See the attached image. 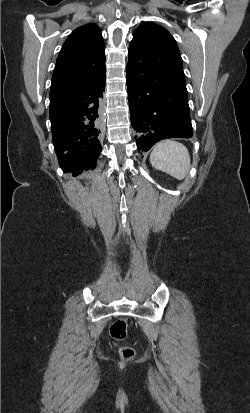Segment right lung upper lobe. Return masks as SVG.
<instances>
[{
    "label": "right lung upper lobe",
    "mask_w": 250,
    "mask_h": 413,
    "mask_svg": "<svg viewBox=\"0 0 250 413\" xmlns=\"http://www.w3.org/2000/svg\"><path fill=\"white\" fill-rule=\"evenodd\" d=\"M104 52L101 29L96 24L74 30L57 58L50 89H63L96 78L105 70Z\"/></svg>",
    "instance_id": "right-lung-upper-lobe-1"
}]
</instances>
